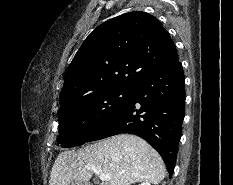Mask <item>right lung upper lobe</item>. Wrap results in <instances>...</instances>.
I'll list each match as a JSON object with an SVG mask.
<instances>
[{
  "mask_svg": "<svg viewBox=\"0 0 233 185\" xmlns=\"http://www.w3.org/2000/svg\"><path fill=\"white\" fill-rule=\"evenodd\" d=\"M177 59L169 33L154 16L135 11L110 19L89 34L72 60L61 107L99 91L128 89Z\"/></svg>",
  "mask_w": 233,
  "mask_h": 185,
  "instance_id": "1",
  "label": "right lung upper lobe"
}]
</instances>
